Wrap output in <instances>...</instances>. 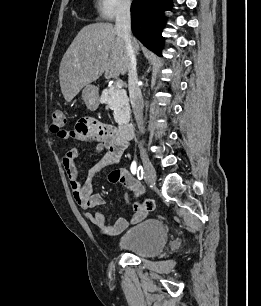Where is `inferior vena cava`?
I'll use <instances>...</instances> for the list:
<instances>
[{"mask_svg": "<svg viewBox=\"0 0 261 306\" xmlns=\"http://www.w3.org/2000/svg\"><path fill=\"white\" fill-rule=\"evenodd\" d=\"M115 30L117 35L124 40L125 49L129 58L128 64V90L131 106L134 112L135 120L138 128L143 132V108L144 101L141 89L138 85V77L136 70V55L132 45L131 36V12L130 1L124 0L118 7L116 12Z\"/></svg>", "mask_w": 261, "mask_h": 306, "instance_id": "obj_1", "label": "inferior vena cava"}]
</instances>
